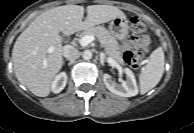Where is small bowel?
<instances>
[{"instance_id":"c3829d8e","label":"small bowel","mask_w":194,"mask_h":133,"mask_svg":"<svg viewBox=\"0 0 194 133\" xmlns=\"http://www.w3.org/2000/svg\"><path fill=\"white\" fill-rule=\"evenodd\" d=\"M125 49L136 48L141 54H146L153 50V45L149 43L147 36L143 37H129L124 43Z\"/></svg>"}]
</instances>
